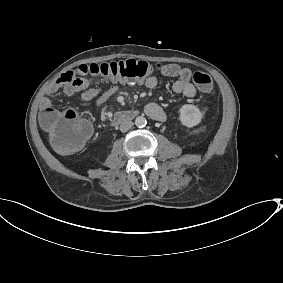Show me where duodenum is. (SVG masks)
<instances>
[{"label": "duodenum", "instance_id": "obj_1", "mask_svg": "<svg viewBox=\"0 0 283 283\" xmlns=\"http://www.w3.org/2000/svg\"><path fill=\"white\" fill-rule=\"evenodd\" d=\"M138 115V111H124V112H118L113 115V118L111 120L112 126L120 125L124 122H127L131 119H134Z\"/></svg>", "mask_w": 283, "mask_h": 283}]
</instances>
